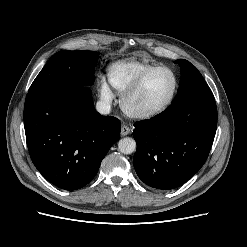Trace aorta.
I'll return each mask as SVG.
<instances>
[{
    "label": "aorta",
    "instance_id": "aorta-1",
    "mask_svg": "<svg viewBox=\"0 0 247 247\" xmlns=\"http://www.w3.org/2000/svg\"><path fill=\"white\" fill-rule=\"evenodd\" d=\"M118 149L123 154H131L136 150V142L130 137H125L119 140Z\"/></svg>",
    "mask_w": 247,
    "mask_h": 247
}]
</instances>
